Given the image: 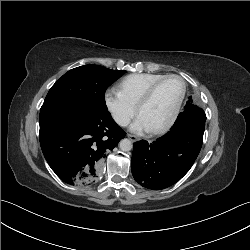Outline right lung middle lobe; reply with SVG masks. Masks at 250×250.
Listing matches in <instances>:
<instances>
[{
  "mask_svg": "<svg viewBox=\"0 0 250 250\" xmlns=\"http://www.w3.org/2000/svg\"><path fill=\"white\" fill-rule=\"evenodd\" d=\"M126 71L85 65L65 73L49 90L40 109V120L71 108L107 110L105 91Z\"/></svg>",
  "mask_w": 250,
  "mask_h": 250,
  "instance_id": "right-lung-middle-lobe-1",
  "label": "right lung middle lobe"
}]
</instances>
